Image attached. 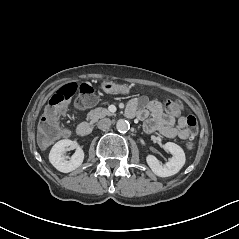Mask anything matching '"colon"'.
Instances as JSON below:
<instances>
[{"instance_id":"obj_1","label":"colon","mask_w":239,"mask_h":239,"mask_svg":"<svg viewBox=\"0 0 239 239\" xmlns=\"http://www.w3.org/2000/svg\"><path fill=\"white\" fill-rule=\"evenodd\" d=\"M78 93L76 106L85 108L95 103L96 98L94 90L90 84L82 83H67L50 97L44 110L43 116L39 125V136L43 144H48L57 138L61 132L59 123V115L65 110V106L69 99ZM183 105L179 100H168L165 104V109L169 115H178L182 111ZM187 131L191 136H194L198 131L197 120L190 115L186 119ZM186 147L191 150L194 147L192 141L187 142Z\"/></svg>"}]
</instances>
